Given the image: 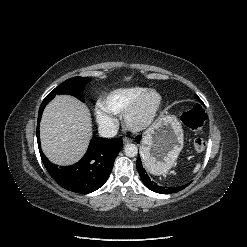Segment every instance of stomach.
I'll return each instance as SVG.
<instances>
[{
    "mask_svg": "<svg viewBox=\"0 0 247 247\" xmlns=\"http://www.w3.org/2000/svg\"><path fill=\"white\" fill-rule=\"evenodd\" d=\"M184 144L182 125L175 116H163L144 134L141 158L147 171L167 173L175 164Z\"/></svg>",
    "mask_w": 247,
    "mask_h": 247,
    "instance_id": "obj_1",
    "label": "stomach"
}]
</instances>
